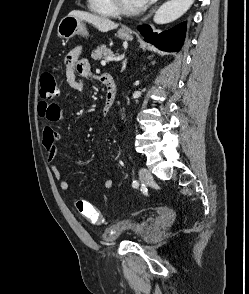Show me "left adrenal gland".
Returning <instances> with one entry per match:
<instances>
[{"label":"left adrenal gland","mask_w":249,"mask_h":294,"mask_svg":"<svg viewBox=\"0 0 249 294\" xmlns=\"http://www.w3.org/2000/svg\"><path fill=\"white\" fill-rule=\"evenodd\" d=\"M126 65H127V59H125L123 62H122V70H125L126 69Z\"/></svg>","instance_id":"1"}]
</instances>
